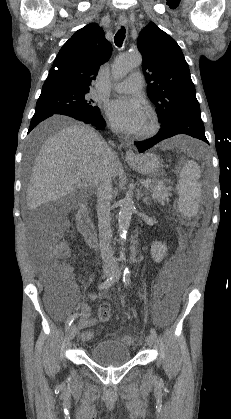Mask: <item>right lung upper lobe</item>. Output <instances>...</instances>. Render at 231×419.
<instances>
[{"mask_svg":"<svg viewBox=\"0 0 231 419\" xmlns=\"http://www.w3.org/2000/svg\"><path fill=\"white\" fill-rule=\"evenodd\" d=\"M112 46L97 24L79 29L63 45L43 86L64 85L88 89L101 64L111 55Z\"/></svg>","mask_w":231,"mask_h":419,"instance_id":"cb5924a9","label":"right lung upper lobe"}]
</instances>
